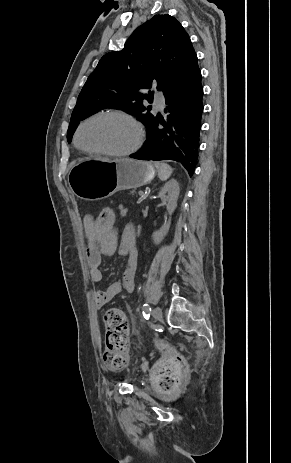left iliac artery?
<instances>
[{
    "label": "left iliac artery",
    "mask_w": 291,
    "mask_h": 463,
    "mask_svg": "<svg viewBox=\"0 0 291 463\" xmlns=\"http://www.w3.org/2000/svg\"><path fill=\"white\" fill-rule=\"evenodd\" d=\"M150 311H151L150 306H149L147 303H145V304L143 305V316H144L145 319H148V318H149V316H150Z\"/></svg>",
    "instance_id": "1"
}]
</instances>
